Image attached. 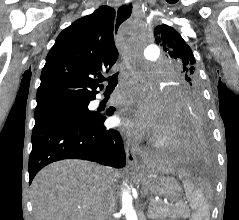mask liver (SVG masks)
Instances as JSON below:
<instances>
[{
	"mask_svg": "<svg viewBox=\"0 0 239 220\" xmlns=\"http://www.w3.org/2000/svg\"><path fill=\"white\" fill-rule=\"evenodd\" d=\"M107 171L113 181L119 177L117 171L76 159L57 161L42 169L31 184L35 220H98L103 214ZM178 176L186 177L185 171H179Z\"/></svg>",
	"mask_w": 239,
	"mask_h": 220,
	"instance_id": "6515ba94",
	"label": "liver"
}]
</instances>
